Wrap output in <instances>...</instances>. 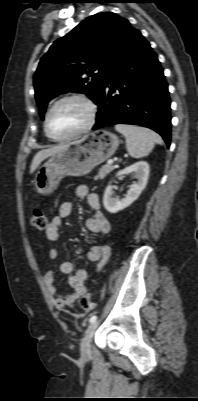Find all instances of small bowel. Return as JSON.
Segmentation results:
<instances>
[{"label":"small bowel","mask_w":198,"mask_h":401,"mask_svg":"<svg viewBox=\"0 0 198 401\" xmlns=\"http://www.w3.org/2000/svg\"><path fill=\"white\" fill-rule=\"evenodd\" d=\"M75 195L79 198H86L88 206L93 212V216L86 220L87 230L91 233L107 234L110 231V222L101 212L98 195L90 193L85 185L77 186ZM72 210L73 205L71 202H64L59 206L58 214L52 218L46 228V237L49 241H59L62 221L71 215ZM86 255L89 261L97 262L96 269L100 271L110 256V247L108 244L91 245L87 248ZM58 256L59 250L56 248L49 252L51 259H56ZM59 270L61 273L69 275V284L73 292L67 295L58 292L53 271H47L44 274V285L52 298L53 305L57 309L72 308L76 301L86 292L87 271L82 268L74 270L73 264L68 260L59 262Z\"/></svg>","instance_id":"small-bowel-1"}]
</instances>
